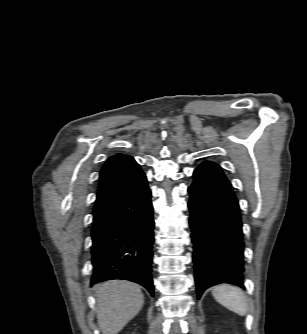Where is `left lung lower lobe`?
Listing matches in <instances>:
<instances>
[{
  "label": "left lung lower lobe",
  "instance_id": "0a47b994",
  "mask_svg": "<svg viewBox=\"0 0 307 334\" xmlns=\"http://www.w3.org/2000/svg\"><path fill=\"white\" fill-rule=\"evenodd\" d=\"M193 176L188 207L199 299L207 288L220 283L244 288V242L238 200L221 167L206 161Z\"/></svg>",
  "mask_w": 307,
  "mask_h": 334
}]
</instances>
